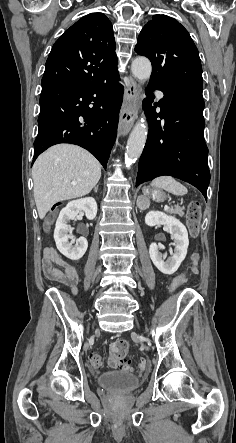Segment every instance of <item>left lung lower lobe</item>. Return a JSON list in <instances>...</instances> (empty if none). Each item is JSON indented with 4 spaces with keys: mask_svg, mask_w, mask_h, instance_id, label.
<instances>
[{
    "mask_svg": "<svg viewBox=\"0 0 236 443\" xmlns=\"http://www.w3.org/2000/svg\"><path fill=\"white\" fill-rule=\"evenodd\" d=\"M202 88L196 83L161 85L149 82L146 88L149 98L143 101V108L150 125L139 161L136 186L169 175L192 184L207 200L210 171L204 140ZM153 89L164 93L163 99L155 104L161 108L159 113L152 107ZM157 117L164 119L165 123Z\"/></svg>",
    "mask_w": 236,
    "mask_h": 443,
    "instance_id": "0a47b994",
    "label": "left lung lower lobe"
}]
</instances>
